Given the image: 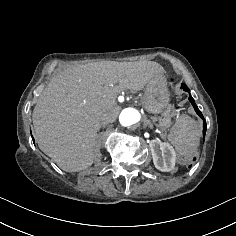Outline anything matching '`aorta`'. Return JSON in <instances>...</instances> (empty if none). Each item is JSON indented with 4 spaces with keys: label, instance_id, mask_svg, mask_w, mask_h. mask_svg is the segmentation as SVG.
<instances>
[{
    "label": "aorta",
    "instance_id": "obj_1",
    "mask_svg": "<svg viewBox=\"0 0 236 236\" xmlns=\"http://www.w3.org/2000/svg\"><path fill=\"white\" fill-rule=\"evenodd\" d=\"M140 113L134 108H125L119 115V122L122 126L128 127L131 126L140 120Z\"/></svg>",
    "mask_w": 236,
    "mask_h": 236
}]
</instances>
